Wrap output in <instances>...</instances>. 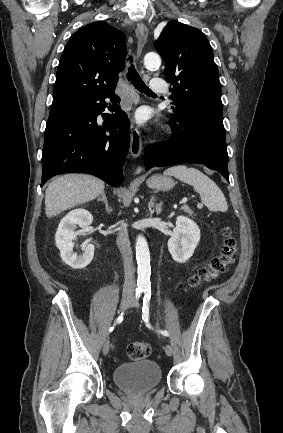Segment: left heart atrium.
Here are the masks:
<instances>
[{
    "label": "left heart atrium",
    "instance_id": "obj_1",
    "mask_svg": "<svg viewBox=\"0 0 283 433\" xmlns=\"http://www.w3.org/2000/svg\"><path fill=\"white\" fill-rule=\"evenodd\" d=\"M137 120H138L139 123H143L144 119H143V116H142L141 113L137 114Z\"/></svg>",
    "mask_w": 283,
    "mask_h": 433
}]
</instances>
